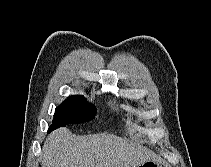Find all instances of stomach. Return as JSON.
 <instances>
[{
    "mask_svg": "<svg viewBox=\"0 0 211 167\" xmlns=\"http://www.w3.org/2000/svg\"><path fill=\"white\" fill-rule=\"evenodd\" d=\"M137 167H161V164L154 159H149L138 164Z\"/></svg>",
    "mask_w": 211,
    "mask_h": 167,
    "instance_id": "0dacf381",
    "label": "stomach"
}]
</instances>
